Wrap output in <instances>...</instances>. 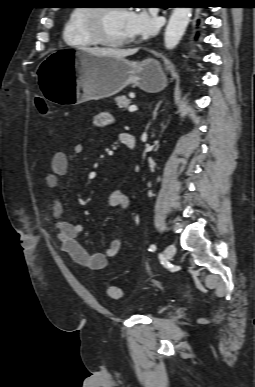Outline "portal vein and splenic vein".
Segmentation results:
<instances>
[{
  "instance_id": "portal-vein-and-splenic-vein-1",
  "label": "portal vein and splenic vein",
  "mask_w": 255,
  "mask_h": 387,
  "mask_svg": "<svg viewBox=\"0 0 255 387\" xmlns=\"http://www.w3.org/2000/svg\"><path fill=\"white\" fill-rule=\"evenodd\" d=\"M137 106L136 105H131V106H129V108H128V111L129 112H135V111H137Z\"/></svg>"
}]
</instances>
